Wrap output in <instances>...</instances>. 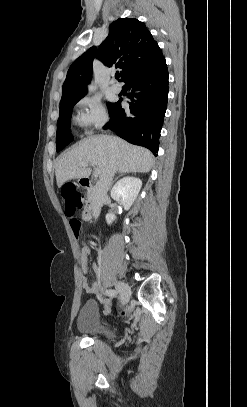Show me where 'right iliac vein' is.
I'll return each mask as SVG.
<instances>
[{"instance_id":"1","label":"right iliac vein","mask_w":247,"mask_h":407,"mask_svg":"<svg viewBox=\"0 0 247 407\" xmlns=\"http://www.w3.org/2000/svg\"><path fill=\"white\" fill-rule=\"evenodd\" d=\"M116 288L120 291L122 305L127 304L131 296V289L129 285L123 282H118L116 284Z\"/></svg>"}]
</instances>
